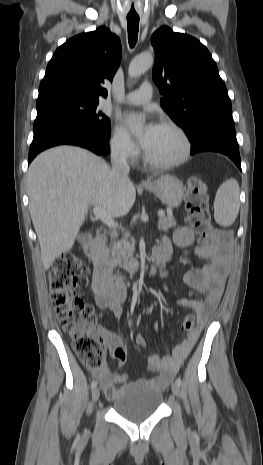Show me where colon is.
Wrapping results in <instances>:
<instances>
[{
  "label": "colon",
  "instance_id": "obj_1",
  "mask_svg": "<svg viewBox=\"0 0 263 465\" xmlns=\"http://www.w3.org/2000/svg\"><path fill=\"white\" fill-rule=\"evenodd\" d=\"M186 222L202 241L213 236L208 212V190L197 177L187 183L185 192ZM51 300L58 321L72 339V346L80 361L87 368L99 371L105 367L106 344L96 326L94 308L77 289L86 285L84 268L73 252L58 258L49 274ZM196 327V317L189 314L182 322V329L191 332Z\"/></svg>",
  "mask_w": 263,
  "mask_h": 465
}]
</instances>
